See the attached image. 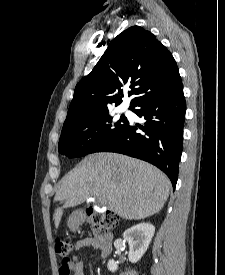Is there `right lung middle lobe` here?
<instances>
[{"label": "right lung middle lobe", "mask_w": 225, "mask_h": 275, "mask_svg": "<svg viewBox=\"0 0 225 275\" xmlns=\"http://www.w3.org/2000/svg\"><path fill=\"white\" fill-rule=\"evenodd\" d=\"M128 125L124 115L113 121L109 111L83 118L62 128L59 152L69 158L97 152Z\"/></svg>", "instance_id": "obj_1"}]
</instances>
